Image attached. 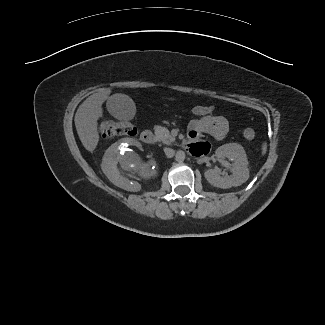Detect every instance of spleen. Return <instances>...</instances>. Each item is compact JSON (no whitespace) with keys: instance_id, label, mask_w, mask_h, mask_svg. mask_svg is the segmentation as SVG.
Segmentation results:
<instances>
[{"instance_id":"obj_1","label":"spleen","mask_w":325,"mask_h":325,"mask_svg":"<svg viewBox=\"0 0 325 325\" xmlns=\"http://www.w3.org/2000/svg\"><path fill=\"white\" fill-rule=\"evenodd\" d=\"M266 151H267V143L264 142V143L262 144V155H265V154H266Z\"/></svg>"}]
</instances>
